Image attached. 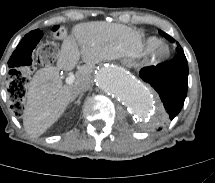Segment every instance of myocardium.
Listing matches in <instances>:
<instances>
[{
	"instance_id": "obj_1",
	"label": "myocardium",
	"mask_w": 215,
	"mask_h": 183,
	"mask_svg": "<svg viewBox=\"0 0 215 183\" xmlns=\"http://www.w3.org/2000/svg\"><path fill=\"white\" fill-rule=\"evenodd\" d=\"M170 56V48L165 43L158 44L151 53L154 62H162Z\"/></svg>"
}]
</instances>
